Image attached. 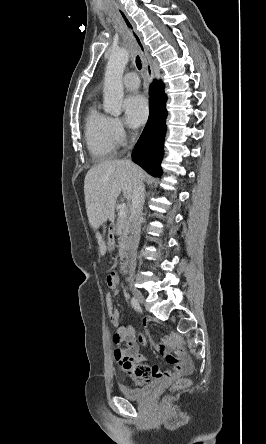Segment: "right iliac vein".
Here are the masks:
<instances>
[{
    "label": "right iliac vein",
    "mask_w": 266,
    "mask_h": 444,
    "mask_svg": "<svg viewBox=\"0 0 266 444\" xmlns=\"http://www.w3.org/2000/svg\"><path fill=\"white\" fill-rule=\"evenodd\" d=\"M131 285H133V282H130ZM132 292L133 295L135 297V299L137 300L138 303L143 304L144 303V297L143 294L141 293L140 290H138L137 288H135L134 286H132Z\"/></svg>",
    "instance_id": "63e3f726"
}]
</instances>
